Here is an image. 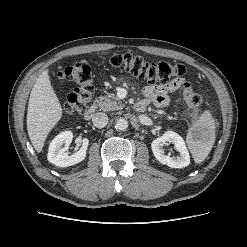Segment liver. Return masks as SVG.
Masks as SVG:
<instances>
[{
	"label": "liver",
	"mask_w": 247,
	"mask_h": 247,
	"mask_svg": "<svg viewBox=\"0 0 247 247\" xmlns=\"http://www.w3.org/2000/svg\"><path fill=\"white\" fill-rule=\"evenodd\" d=\"M62 106L51 85L49 70L36 80L28 103L27 130L35 150L40 153L50 131L62 118Z\"/></svg>",
	"instance_id": "obj_1"
}]
</instances>
